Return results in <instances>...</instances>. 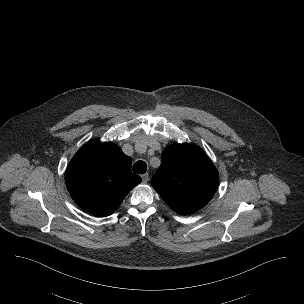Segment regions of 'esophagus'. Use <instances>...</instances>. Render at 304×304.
<instances>
[{
  "label": "esophagus",
  "mask_w": 304,
  "mask_h": 304,
  "mask_svg": "<svg viewBox=\"0 0 304 304\" xmlns=\"http://www.w3.org/2000/svg\"><path fill=\"white\" fill-rule=\"evenodd\" d=\"M141 177H142L143 183L148 182V180H149V174L148 173L143 174Z\"/></svg>",
  "instance_id": "34e87169"
}]
</instances>
